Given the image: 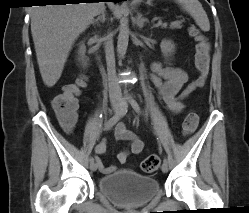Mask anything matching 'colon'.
Here are the masks:
<instances>
[{
  "label": "colon",
  "instance_id": "1",
  "mask_svg": "<svg viewBox=\"0 0 249 213\" xmlns=\"http://www.w3.org/2000/svg\"><path fill=\"white\" fill-rule=\"evenodd\" d=\"M190 34L197 41L195 65L198 71L197 84H204L209 70L210 43L208 39L195 27L190 29ZM86 86V79L80 76L75 82L64 85L61 93L57 94L51 102L52 108L61 121L73 125L76 121L78 109L77 98ZM199 117L196 112H189L183 122L184 134L192 133L198 125ZM160 165V159L156 155L146 157L142 162V170L146 173L155 172Z\"/></svg>",
  "mask_w": 249,
  "mask_h": 213
}]
</instances>
